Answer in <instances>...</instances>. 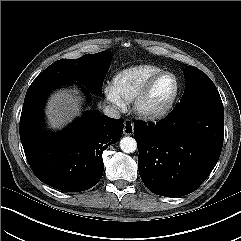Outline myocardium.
<instances>
[{
  "label": "myocardium",
  "mask_w": 241,
  "mask_h": 241,
  "mask_svg": "<svg viewBox=\"0 0 241 241\" xmlns=\"http://www.w3.org/2000/svg\"><path fill=\"white\" fill-rule=\"evenodd\" d=\"M165 76H170L174 79L175 88L173 94L162 104L158 106H149V96L157 84V82ZM180 92V82L178 77L169 71H162L152 77L137 94L133 100V111L139 118L146 121H156L164 118L176 103Z\"/></svg>",
  "instance_id": "1"
}]
</instances>
